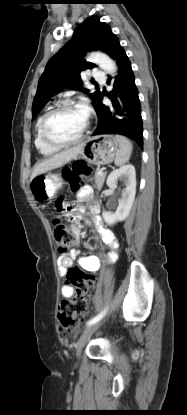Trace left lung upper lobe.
I'll use <instances>...</instances> for the list:
<instances>
[{"label":"left lung upper lobe","instance_id":"1","mask_svg":"<svg viewBox=\"0 0 187 415\" xmlns=\"http://www.w3.org/2000/svg\"><path fill=\"white\" fill-rule=\"evenodd\" d=\"M115 39L111 29L96 16L89 17L80 24L71 40L48 61L33 100L32 119L52 96L64 89H79L88 93L89 90L83 87H75L76 84H82L80 72L95 66L84 60L83 56L91 50H100L108 54ZM89 96L95 106L101 92L95 91Z\"/></svg>","mask_w":187,"mask_h":415}]
</instances>
